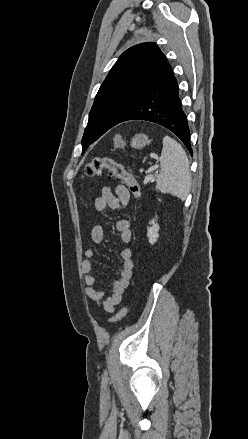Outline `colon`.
<instances>
[{
	"instance_id": "colon-1",
	"label": "colon",
	"mask_w": 248,
	"mask_h": 439,
	"mask_svg": "<svg viewBox=\"0 0 248 439\" xmlns=\"http://www.w3.org/2000/svg\"><path fill=\"white\" fill-rule=\"evenodd\" d=\"M107 172L109 177L118 179L124 186L128 188L130 193L139 199L141 196L140 185L136 177L128 172L122 164L111 158H93L84 167V174L87 177L100 176L103 172ZM128 306H123L109 321L110 324H116L127 313Z\"/></svg>"
}]
</instances>
